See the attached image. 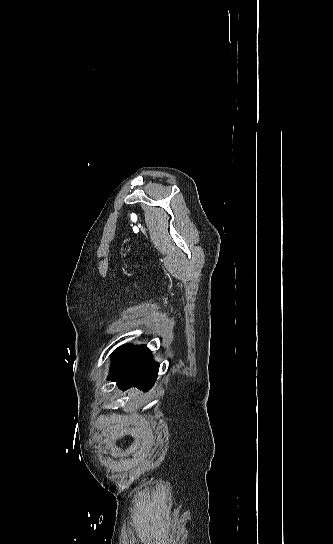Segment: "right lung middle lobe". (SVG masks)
<instances>
[{"label": "right lung middle lobe", "instance_id": "right-lung-middle-lobe-1", "mask_svg": "<svg viewBox=\"0 0 333 544\" xmlns=\"http://www.w3.org/2000/svg\"><path fill=\"white\" fill-rule=\"evenodd\" d=\"M128 346H130V345H122V346L118 347V348L112 353V358L115 357L116 355H118L119 353H121L122 351H124Z\"/></svg>", "mask_w": 333, "mask_h": 544}]
</instances>
